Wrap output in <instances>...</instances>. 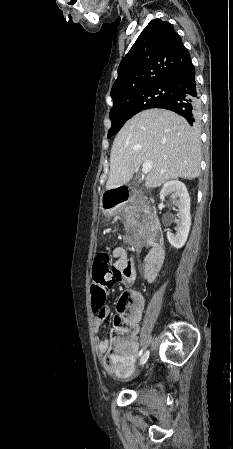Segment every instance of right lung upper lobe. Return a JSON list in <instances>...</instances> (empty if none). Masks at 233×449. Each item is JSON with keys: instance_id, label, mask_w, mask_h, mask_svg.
Segmentation results:
<instances>
[{"instance_id": "obj_1", "label": "right lung upper lobe", "mask_w": 233, "mask_h": 449, "mask_svg": "<svg viewBox=\"0 0 233 449\" xmlns=\"http://www.w3.org/2000/svg\"><path fill=\"white\" fill-rule=\"evenodd\" d=\"M190 54L172 24L152 20L122 59L111 89L112 99L194 73Z\"/></svg>"}]
</instances>
